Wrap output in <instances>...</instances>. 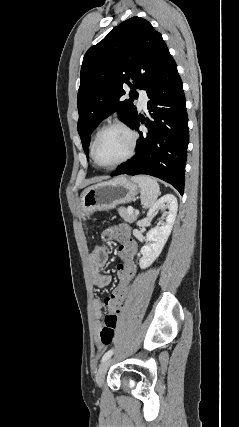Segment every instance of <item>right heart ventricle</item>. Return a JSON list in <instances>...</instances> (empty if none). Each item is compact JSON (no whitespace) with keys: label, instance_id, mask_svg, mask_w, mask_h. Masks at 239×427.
<instances>
[{"label":"right heart ventricle","instance_id":"obj_1","mask_svg":"<svg viewBox=\"0 0 239 427\" xmlns=\"http://www.w3.org/2000/svg\"><path fill=\"white\" fill-rule=\"evenodd\" d=\"M95 136H96V134L94 135L93 140H94ZM92 143H93V141H92Z\"/></svg>","mask_w":239,"mask_h":427}]
</instances>
